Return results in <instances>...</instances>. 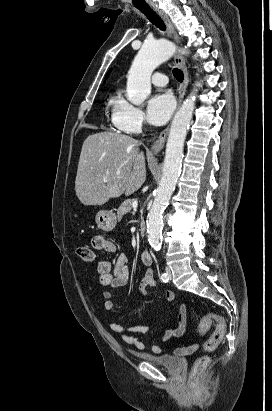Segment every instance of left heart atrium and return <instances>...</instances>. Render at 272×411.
Wrapping results in <instances>:
<instances>
[{
  "label": "left heart atrium",
  "instance_id": "39dd6f15",
  "mask_svg": "<svg viewBox=\"0 0 272 411\" xmlns=\"http://www.w3.org/2000/svg\"><path fill=\"white\" fill-rule=\"evenodd\" d=\"M174 99L169 93L156 94L147 104L148 117L151 123L163 125L170 118L174 110Z\"/></svg>",
  "mask_w": 272,
  "mask_h": 411
}]
</instances>
